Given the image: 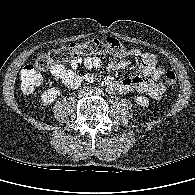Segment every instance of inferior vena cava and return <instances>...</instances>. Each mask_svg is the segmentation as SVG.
Here are the masks:
<instances>
[{"label":"inferior vena cava","instance_id":"1","mask_svg":"<svg viewBox=\"0 0 195 195\" xmlns=\"http://www.w3.org/2000/svg\"><path fill=\"white\" fill-rule=\"evenodd\" d=\"M80 94H81V96L86 97L88 95H91L92 91L89 88H84V89L80 90Z\"/></svg>","mask_w":195,"mask_h":195}]
</instances>
